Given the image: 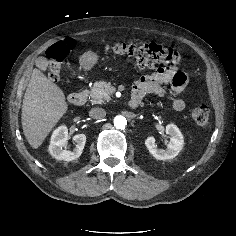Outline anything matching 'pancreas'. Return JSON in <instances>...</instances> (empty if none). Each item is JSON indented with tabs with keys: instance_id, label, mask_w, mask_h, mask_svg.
Listing matches in <instances>:
<instances>
[{
	"instance_id": "1",
	"label": "pancreas",
	"mask_w": 236,
	"mask_h": 236,
	"mask_svg": "<svg viewBox=\"0 0 236 236\" xmlns=\"http://www.w3.org/2000/svg\"><path fill=\"white\" fill-rule=\"evenodd\" d=\"M115 91V88L110 82L104 80L94 83L91 91L89 92V98L92 104H101L109 102L111 100V94Z\"/></svg>"
}]
</instances>
